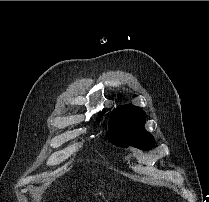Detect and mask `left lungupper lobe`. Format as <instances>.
<instances>
[{
    "mask_svg": "<svg viewBox=\"0 0 209 202\" xmlns=\"http://www.w3.org/2000/svg\"><path fill=\"white\" fill-rule=\"evenodd\" d=\"M146 114L139 107L125 105L111 114L107 137L119 146H133L141 150H150L155 145L153 136L145 131Z\"/></svg>",
    "mask_w": 209,
    "mask_h": 202,
    "instance_id": "left-lung-upper-lobe-1",
    "label": "left lung upper lobe"
}]
</instances>
